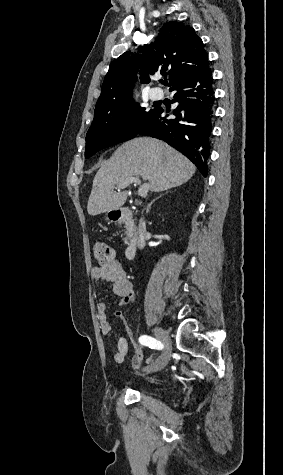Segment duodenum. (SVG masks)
Masks as SVG:
<instances>
[{
	"label": "duodenum",
	"mask_w": 283,
	"mask_h": 475,
	"mask_svg": "<svg viewBox=\"0 0 283 475\" xmlns=\"http://www.w3.org/2000/svg\"><path fill=\"white\" fill-rule=\"evenodd\" d=\"M111 220L115 222H122L128 228L129 240L125 248V257L129 260L133 259L136 255L138 248L137 227L133 210L129 208H120L118 210H115L111 214Z\"/></svg>",
	"instance_id": "1"
}]
</instances>
